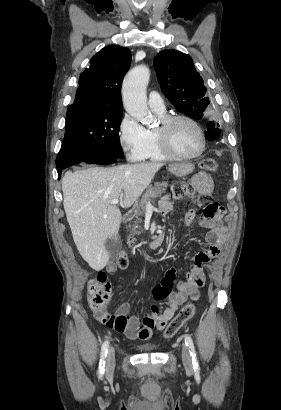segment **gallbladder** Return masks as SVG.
Segmentation results:
<instances>
[{"label":"gallbladder","instance_id":"obj_1","mask_svg":"<svg viewBox=\"0 0 281 410\" xmlns=\"http://www.w3.org/2000/svg\"><path fill=\"white\" fill-rule=\"evenodd\" d=\"M105 248L109 252L110 261H114L121 249V242L119 239H107Z\"/></svg>","mask_w":281,"mask_h":410}]
</instances>
